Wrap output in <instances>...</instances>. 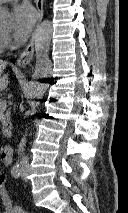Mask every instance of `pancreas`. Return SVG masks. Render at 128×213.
I'll return each mask as SVG.
<instances>
[{
	"label": "pancreas",
	"instance_id": "cf45deb5",
	"mask_svg": "<svg viewBox=\"0 0 128 213\" xmlns=\"http://www.w3.org/2000/svg\"><path fill=\"white\" fill-rule=\"evenodd\" d=\"M2 99L0 98V103H2ZM11 112L10 110L7 111H0V122L2 123V135L11 137L12 131V124H11Z\"/></svg>",
	"mask_w": 128,
	"mask_h": 213
}]
</instances>
